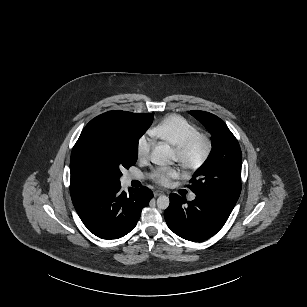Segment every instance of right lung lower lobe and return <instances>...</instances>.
Masks as SVG:
<instances>
[{"mask_svg":"<svg viewBox=\"0 0 307 307\" xmlns=\"http://www.w3.org/2000/svg\"><path fill=\"white\" fill-rule=\"evenodd\" d=\"M120 188V184L96 185L72 198L84 225L100 238L117 239L128 234L153 197L145 186L130 189L129 195Z\"/></svg>","mask_w":307,"mask_h":307,"instance_id":"1","label":"right lung lower lobe"}]
</instances>
